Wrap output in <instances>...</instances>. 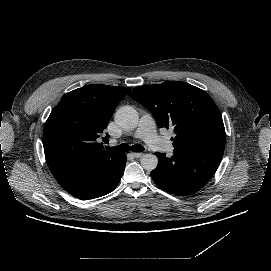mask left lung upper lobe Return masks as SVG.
Wrapping results in <instances>:
<instances>
[{
    "label": "left lung upper lobe",
    "mask_w": 271,
    "mask_h": 271,
    "mask_svg": "<svg viewBox=\"0 0 271 271\" xmlns=\"http://www.w3.org/2000/svg\"><path fill=\"white\" fill-rule=\"evenodd\" d=\"M129 96L151 111L160 128L174 127V148L224 151L222 116L204 90L182 81H167L136 87Z\"/></svg>",
    "instance_id": "obj_1"
}]
</instances>
